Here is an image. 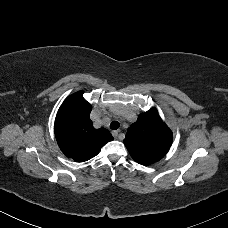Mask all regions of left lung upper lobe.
Here are the masks:
<instances>
[{
    "instance_id": "5c2ea615",
    "label": "left lung upper lobe",
    "mask_w": 228,
    "mask_h": 228,
    "mask_svg": "<svg viewBox=\"0 0 228 228\" xmlns=\"http://www.w3.org/2000/svg\"><path fill=\"white\" fill-rule=\"evenodd\" d=\"M124 144L136 162L150 165L165 156L172 144V132L156 109H151L129 127Z\"/></svg>"
}]
</instances>
